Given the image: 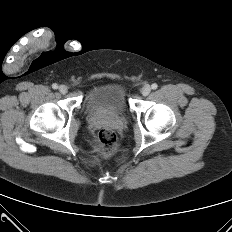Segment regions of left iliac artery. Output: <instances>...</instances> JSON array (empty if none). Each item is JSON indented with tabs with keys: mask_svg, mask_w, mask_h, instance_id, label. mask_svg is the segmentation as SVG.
Wrapping results in <instances>:
<instances>
[{
	"mask_svg": "<svg viewBox=\"0 0 232 232\" xmlns=\"http://www.w3.org/2000/svg\"><path fill=\"white\" fill-rule=\"evenodd\" d=\"M157 87H158V85H157L156 83H153V84L151 85V88H152L153 90L157 89Z\"/></svg>",
	"mask_w": 232,
	"mask_h": 232,
	"instance_id": "obj_1",
	"label": "left iliac artery"
}]
</instances>
